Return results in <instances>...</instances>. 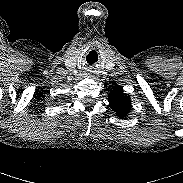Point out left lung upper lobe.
<instances>
[{
  "mask_svg": "<svg viewBox=\"0 0 183 183\" xmlns=\"http://www.w3.org/2000/svg\"><path fill=\"white\" fill-rule=\"evenodd\" d=\"M129 95L123 93L122 87H114L108 95L109 106L120 118H125L130 112L132 105Z\"/></svg>",
  "mask_w": 183,
  "mask_h": 183,
  "instance_id": "obj_1",
  "label": "left lung upper lobe"
}]
</instances>
